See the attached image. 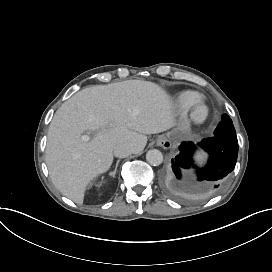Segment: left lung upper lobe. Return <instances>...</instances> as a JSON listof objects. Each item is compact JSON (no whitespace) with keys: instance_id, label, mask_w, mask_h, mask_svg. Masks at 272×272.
<instances>
[{"instance_id":"5c2ea615","label":"left lung upper lobe","mask_w":272,"mask_h":272,"mask_svg":"<svg viewBox=\"0 0 272 272\" xmlns=\"http://www.w3.org/2000/svg\"><path fill=\"white\" fill-rule=\"evenodd\" d=\"M214 136L228 141L237 142L236 131L231 118L224 114L214 131Z\"/></svg>"}]
</instances>
